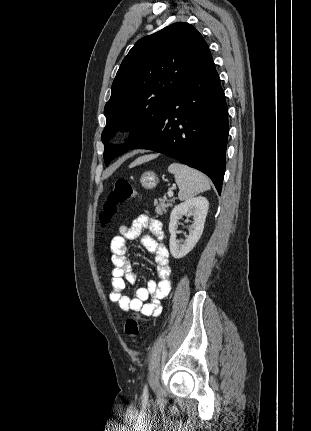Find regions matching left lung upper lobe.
<instances>
[{
    "mask_svg": "<svg viewBox=\"0 0 311 431\" xmlns=\"http://www.w3.org/2000/svg\"><path fill=\"white\" fill-rule=\"evenodd\" d=\"M208 45L190 24L174 23L138 40L124 58L112 84L102 132L104 161L147 140L183 83L201 63ZM119 130H132L122 146L108 143Z\"/></svg>",
    "mask_w": 311,
    "mask_h": 431,
    "instance_id": "obj_1",
    "label": "left lung upper lobe"
}]
</instances>
